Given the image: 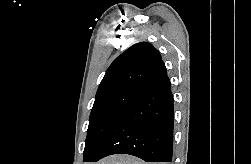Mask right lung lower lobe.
Returning a JSON list of instances; mask_svg holds the SVG:
<instances>
[{
  "mask_svg": "<svg viewBox=\"0 0 251 164\" xmlns=\"http://www.w3.org/2000/svg\"><path fill=\"white\" fill-rule=\"evenodd\" d=\"M173 96L168 76L141 89L100 139L84 162L112 154H130L146 162H171L173 150Z\"/></svg>",
  "mask_w": 251,
  "mask_h": 164,
  "instance_id": "98d812e1",
  "label": "right lung lower lobe"
}]
</instances>
